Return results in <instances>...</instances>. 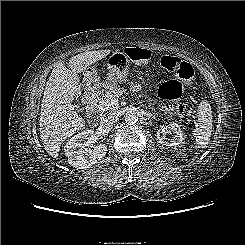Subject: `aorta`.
<instances>
[{"instance_id": "aorta-1", "label": "aorta", "mask_w": 245, "mask_h": 245, "mask_svg": "<svg viewBox=\"0 0 245 245\" xmlns=\"http://www.w3.org/2000/svg\"><path fill=\"white\" fill-rule=\"evenodd\" d=\"M124 120L127 124H135L138 121V116L135 112L130 111L126 113Z\"/></svg>"}]
</instances>
